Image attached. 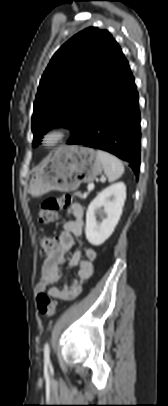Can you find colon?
Segmentation results:
<instances>
[{
	"mask_svg": "<svg viewBox=\"0 0 168 406\" xmlns=\"http://www.w3.org/2000/svg\"><path fill=\"white\" fill-rule=\"evenodd\" d=\"M71 196L62 195L47 198L38 211L40 222L49 224L58 219L59 211L70 204ZM57 246V240L49 235L40 238V255L44 258L49 257ZM37 309L40 314L53 316L56 312L55 302L49 295L41 292L37 296Z\"/></svg>",
	"mask_w": 168,
	"mask_h": 406,
	"instance_id": "obj_1",
	"label": "colon"
}]
</instances>
